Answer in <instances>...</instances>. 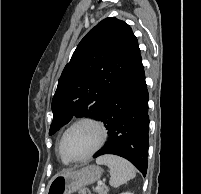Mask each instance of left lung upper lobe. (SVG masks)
I'll return each mask as SVG.
<instances>
[{
  "label": "left lung upper lobe",
  "instance_id": "left-lung-upper-lobe-1",
  "mask_svg": "<svg viewBox=\"0 0 201 194\" xmlns=\"http://www.w3.org/2000/svg\"><path fill=\"white\" fill-rule=\"evenodd\" d=\"M139 53L137 38L124 21L109 17L92 28L58 80L49 135L74 116L98 118Z\"/></svg>",
  "mask_w": 201,
  "mask_h": 194
}]
</instances>
